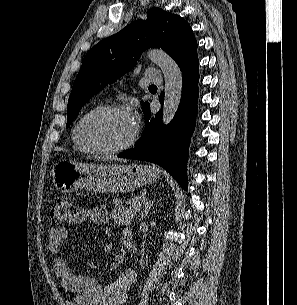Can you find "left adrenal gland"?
Masks as SVG:
<instances>
[{"instance_id":"a2214340","label":"left adrenal gland","mask_w":297,"mask_h":305,"mask_svg":"<svg viewBox=\"0 0 297 305\" xmlns=\"http://www.w3.org/2000/svg\"><path fill=\"white\" fill-rule=\"evenodd\" d=\"M153 203L154 201L148 200L146 197L143 199L144 210L140 215V220H143L148 215Z\"/></svg>"}]
</instances>
